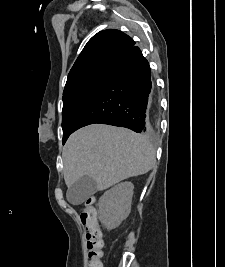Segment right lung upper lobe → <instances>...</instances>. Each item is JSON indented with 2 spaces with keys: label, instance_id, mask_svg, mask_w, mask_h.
<instances>
[{
  "label": "right lung upper lobe",
  "instance_id": "obj_1",
  "mask_svg": "<svg viewBox=\"0 0 225 267\" xmlns=\"http://www.w3.org/2000/svg\"><path fill=\"white\" fill-rule=\"evenodd\" d=\"M134 45L135 42L119 30L98 32L78 56L68 74L65 87L85 77L107 73L120 54Z\"/></svg>",
  "mask_w": 225,
  "mask_h": 267
}]
</instances>
